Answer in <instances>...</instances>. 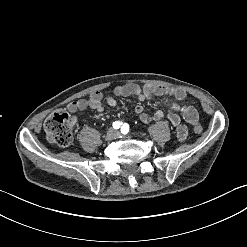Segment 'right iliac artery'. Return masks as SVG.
Instances as JSON below:
<instances>
[{"label":"right iliac artery","instance_id":"1","mask_svg":"<svg viewBox=\"0 0 247 247\" xmlns=\"http://www.w3.org/2000/svg\"><path fill=\"white\" fill-rule=\"evenodd\" d=\"M121 122H119V121H115V122H113V128L114 129H119L120 128V126H121Z\"/></svg>","mask_w":247,"mask_h":247}]
</instances>
